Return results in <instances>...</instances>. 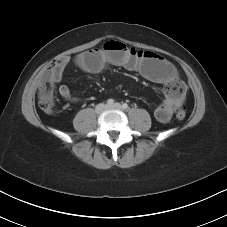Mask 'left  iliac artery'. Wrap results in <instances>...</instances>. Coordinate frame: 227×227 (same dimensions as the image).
I'll use <instances>...</instances> for the list:
<instances>
[{
	"instance_id": "44dca946",
	"label": "left iliac artery",
	"mask_w": 227,
	"mask_h": 227,
	"mask_svg": "<svg viewBox=\"0 0 227 227\" xmlns=\"http://www.w3.org/2000/svg\"><path fill=\"white\" fill-rule=\"evenodd\" d=\"M122 107H123V109H128V108H129L128 104H126V103H124V104L122 105Z\"/></svg>"
}]
</instances>
